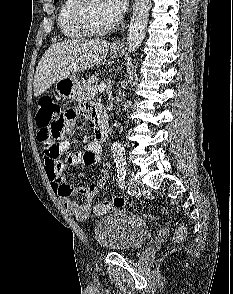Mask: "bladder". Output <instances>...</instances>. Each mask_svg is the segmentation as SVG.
Wrapping results in <instances>:
<instances>
[{"label":"bladder","mask_w":233,"mask_h":294,"mask_svg":"<svg viewBox=\"0 0 233 294\" xmlns=\"http://www.w3.org/2000/svg\"><path fill=\"white\" fill-rule=\"evenodd\" d=\"M149 236L148 224L127 210H119L101 218L94 227L97 244L112 252L137 251Z\"/></svg>","instance_id":"bladder-1"}]
</instances>
